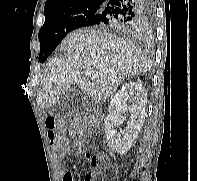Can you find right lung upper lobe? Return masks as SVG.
<instances>
[{"instance_id":"cb5924a9","label":"right lung upper lobe","mask_w":197,"mask_h":181,"mask_svg":"<svg viewBox=\"0 0 197 181\" xmlns=\"http://www.w3.org/2000/svg\"><path fill=\"white\" fill-rule=\"evenodd\" d=\"M109 0H48L44 7L45 17L84 5L104 6Z\"/></svg>"}]
</instances>
